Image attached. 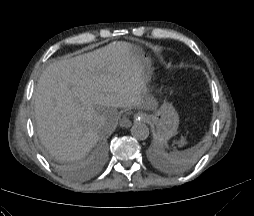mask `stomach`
Returning <instances> with one entry per match:
<instances>
[{
    "label": "stomach",
    "mask_w": 254,
    "mask_h": 216,
    "mask_svg": "<svg viewBox=\"0 0 254 216\" xmlns=\"http://www.w3.org/2000/svg\"><path fill=\"white\" fill-rule=\"evenodd\" d=\"M130 54L137 60V66L140 72H144L147 67V60L142 52L135 46L125 43ZM156 126V136L159 140L166 142L172 136L177 134L179 125V116L172 106L165 102L153 114L146 116Z\"/></svg>",
    "instance_id": "obj_1"
}]
</instances>
